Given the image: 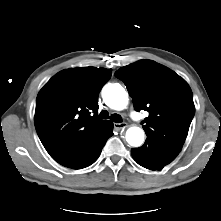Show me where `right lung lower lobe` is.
<instances>
[{"mask_svg":"<svg viewBox=\"0 0 221 221\" xmlns=\"http://www.w3.org/2000/svg\"><path fill=\"white\" fill-rule=\"evenodd\" d=\"M112 135L113 124L108 121L106 126L98 134L86 141L75 152L58 163L72 169H82L90 166L98 159L106 141Z\"/></svg>","mask_w":221,"mask_h":221,"instance_id":"1","label":"right lung lower lobe"}]
</instances>
